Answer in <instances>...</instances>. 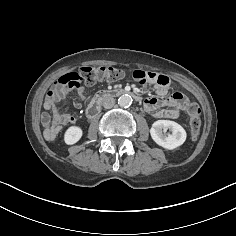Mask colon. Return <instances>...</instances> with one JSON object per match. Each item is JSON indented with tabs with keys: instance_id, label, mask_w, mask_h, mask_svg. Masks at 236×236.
Masks as SVG:
<instances>
[{
	"instance_id": "obj_1",
	"label": "colon",
	"mask_w": 236,
	"mask_h": 236,
	"mask_svg": "<svg viewBox=\"0 0 236 236\" xmlns=\"http://www.w3.org/2000/svg\"><path fill=\"white\" fill-rule=\"evenodd\" d=\"M124 76L125 72L118 68L109 66H84L60 77L54 84L51 95L56 99H60L65 95L67 89L78 88L82 83L93 85L101 80L117 81ZM132 76L139 83L145 84L149 75L142 71H134ZM187 111L190 117L191 139L195 141L199 136L201 127V109L197 103H191Z\"/></svg>"
}]
</instances>
